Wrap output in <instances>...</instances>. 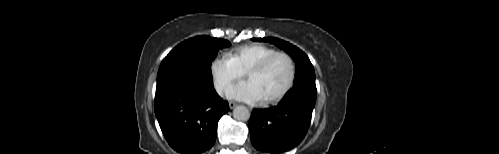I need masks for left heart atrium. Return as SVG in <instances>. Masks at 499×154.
<instances>
[{
  "instance_id": "39dd6f15",
  "label": "left heart atrium",
  "mask_w": 499,
  "mask_h": 154,
  "mask_svg": "<svg viewBox=\"0 0 499 154\" xmlns=\"http://www.w3.org/2000/svg\"><path fill=\"white\" fill-rule=\"evenodd\" d=\"M228 97L248 103H258L264 100L257 85L249 80L231 87L228 91Z\"/></svg>"
}]
</instances>
